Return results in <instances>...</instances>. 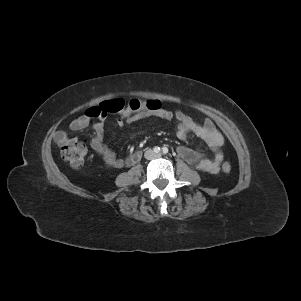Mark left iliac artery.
Instances as JSON below:
<instances>
[{
    "mask_svg": "<svg viewBox=\"0 0 301 301\" xmlns=\"http://www.w3.org/2000/svg\"><path fill=\"white\" fill-rule=\"evenodd\" d=\"M162 152H163V154L168 153V148H167V147H163V148H162Z\"/></svg>",
    "mask_w": 301,
    "mask_h": 301,
    "instance_id": "left-iliac-artery-1",
    "label": "left iliac artery"
}]
</instances>
